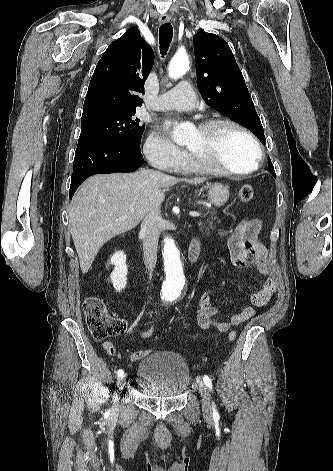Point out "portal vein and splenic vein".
Returning <instances> with one entry per match:
<instances>
[{
	"mask_svg": "<svg viewBox=\"0 0 333 471\" xmlns=\"http://www.w3.org/2000/svg\"><path fill=\"white\" fill-rule=\"evenodd\" d=\"M133 210H134V209H131V211H133ZM189 215H190L191 217H199L201 214H200L199 212H196V211H191V212L189 213Z\"/></svg>",
	"mask_w": 333,
	"mask_h": 471,
	"instance_id": "1",
	"label": "portal vein and splenic vein"
}]
</instances>
